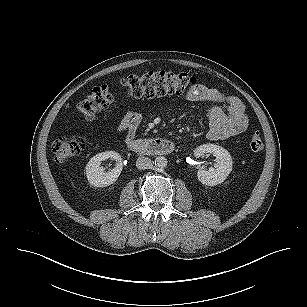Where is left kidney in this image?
<instances>
[{"label": "left kidney", "mask_w": 307, "mask_h": 307, "mask_svg": "<svg viewBox=\"0 0 307 307\" xmlns=\"http://www.w3.org/2000/svg\"><path fill=\"white\" fill-rule=\"evenodd\" d=\"M207 153H212L216 158L214 168H210L208 171L198 170L197 177L202 184L216 186L225 181L232 171V158L226 149L210 143L200 145L194 150V156L198 158Z\"/></svg>", "instance_id": "left-kidney-1"}]
</instances>
